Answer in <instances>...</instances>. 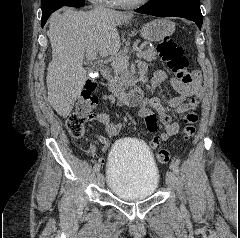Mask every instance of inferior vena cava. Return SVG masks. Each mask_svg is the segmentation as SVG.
<instances>
[{"mask_svg": "<svg viewBox=\"0 0 240 238\" xmlns=\"http://www.w3.org/2000/svg\"><path fill=\"white\" fill-rule=\"evenodd\" d=\"M94 3V12H102V11H106L107 8L104 7V5L102 4V0H93Z\"/></svg>", "mask_w": 240, "mask_h": 238, "instance_id": "inferior-vena-cava-1", "label": "inferior vena cava"}]
</instances>
